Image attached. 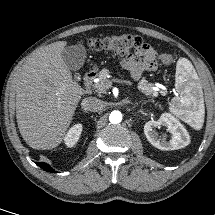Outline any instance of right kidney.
Returning <instances> with one entry per match:
<instances>
[{"instance_id":"right-kidney-1","label":"right kidney","mask_w":215,"mask_h":215,"mask_svg":"<svg viewBox=\"0 0 215 215\" xmlns=\"http://www.w3.org/2000/svg\"><path fill=\"white\" fill-rule=\"evenodd\" d=\"M82 132V124H75L70 128L68 133L64 137L67 147H73L80 138Z\"/></svg>"}]
</instances>
